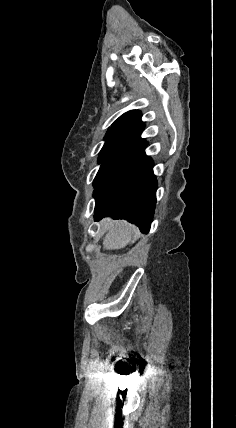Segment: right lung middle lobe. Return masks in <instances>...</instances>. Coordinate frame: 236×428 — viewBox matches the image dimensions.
<instances>
[{
    "label": "right lung middle lobe",
    "instance_id": "right-lung-middle-lobe-1",
    "mask_svg": "<svg viewBox=\"0 0 236 428\" xmlns=\"http://www.w3.org/2000/svg\"><path fill=\"white\" fill-rule=\"evenodd\" d=\"M146 144H133L113 150L101 151L98 161L102 163L94 179V198L101 199L135 164Z\"/></svg>",
    "mask_w": 236,
    "mask_h": 428
}]
</instances>
